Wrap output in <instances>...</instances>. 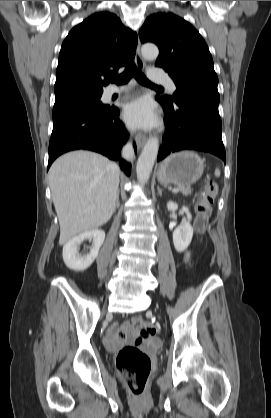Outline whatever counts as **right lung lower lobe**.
Listing matches in <instances>:
<instances>
[{
    "mask_svg": "<svg viewBox=\"0 0 271 418\" xmlns=\"http://www.w3.org/2000/svg\"><path fill=\"white\" fill-rule=\"evenodd\" d=\"M126 139L127 132L119 120V110L116 107H100L64 114L53 119L48 168L59 155L77 149L92 150L117 160ZM120 166L130 175L129 163L121 159Z\"/></svg>",
    "mask_w": 271,
    "mask_h": 418,
    "instance_id": "98d812e1",
    "label": "right lung lower lobe"
}]
</instances>
